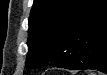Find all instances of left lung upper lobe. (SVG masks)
I'll use <instances>...</instances> for the list:
<instances>
[{"label":"left lung upper lobe","instance_id":"left-lung-upper-lobe-1","mask_svg":"<svg viewBox=\"0 0 107 75\" xmlns=\"http://www.w3.org/2000/svg\"><path fill=\"white\" fill-rule=\"evenodd\" d=\"M99 0H34L28 20L26 66L38 68L61 60L54 52L77 40V27Z\"/></svg>","mask_w":107,"mask_h":75}]
</instances>
